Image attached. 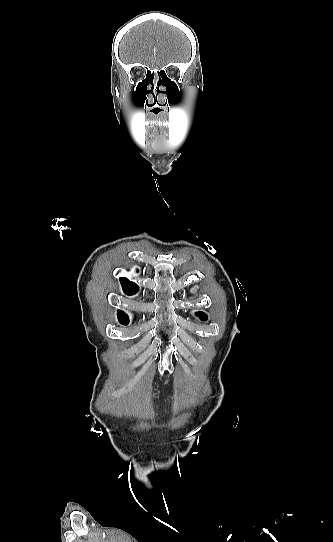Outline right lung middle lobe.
<instances>
[{
  "label": "right lung middle lobe",
  "instance_id": "right-lung-middle-lobe-1",
  "mask_svg": "<svg viewBox=\"0 0 333 542\" xmlns=\"http://www.w3.org/2000/svg\"><path fill=\"white\" fill-rule=\"evenodd\" d=\"M120 321L121 324H124V325H127L129 320H125V319H118Z\"/></svg>",
  "mask_w": 333,
  "mask_h": 542
}]
</instances>
